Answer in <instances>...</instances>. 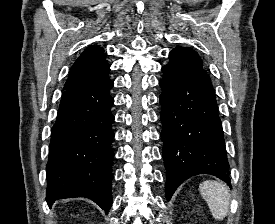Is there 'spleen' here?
<instances>
[{"instance_id": "1", "label": "spleen", "mask_w": 275, "mask_h": 224, "mask_svg": "<svg viewBox=\"0 0 275 224\" xmlns=\"http://www.w3.org/2000/svg\"><path fill=\"white\" fill-rule=\"evenodd\" d=\"M199 191L206 200L213 218L223 220L230 204V194L226 186L218 181L207 180L200 184Z\"/></svg>"}]
</instances>
